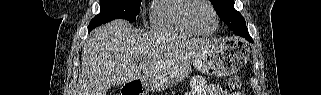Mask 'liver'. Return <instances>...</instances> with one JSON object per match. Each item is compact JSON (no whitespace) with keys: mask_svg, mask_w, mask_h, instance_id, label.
Returning <instances> with one entry per match:
<instances>
[{"mask_svg":"<svg viewBox=\"0 0 321 95\" xmlns=\"http://www.w3.org/2000/svg\"><path fill=\"white\" fill-rule=\"evenodd\" d=\"M168 39L161 32L138 34L124 20L93 30L83 46L75 95H107L112 85L151 79L191 57L208 42L182 38L175 48Z\"/></svg>","mask_w":321,"mask_h":95,"instance_id":"6515ba94","label":"liver"}]
</instances>
